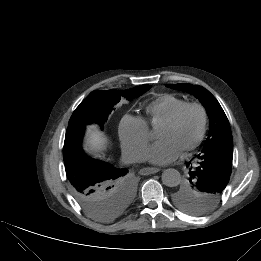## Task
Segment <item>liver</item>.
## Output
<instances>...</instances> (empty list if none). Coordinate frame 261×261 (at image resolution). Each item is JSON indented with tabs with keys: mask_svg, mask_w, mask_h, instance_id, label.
<instances>
[{
	"mask_svg": "<svg viewBox=\"0 0 261 261\" xmlns=\"http://www.w3.org/2000/svg\"><path fill=\"white\" fill-rule=\"evenodd\" d=\"M107 144V138L100 133L95 125L88 126L86 137V148L88 151L98 154L101 153Z\"/></svg>",
	"mask_w": 261,
	"mask_h": 261,
	"instance_id": "liver-1",
	"label": "liver"
}]
</instances>
